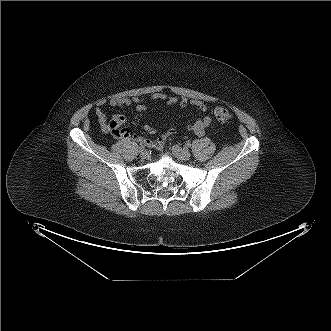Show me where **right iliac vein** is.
<instances>
[{"label": "right iliac vein", "instance_id": "right-iliac-vein-1", "mask_svg": "<svg viewBox=\"0 0 331 331\" xmlns=\"http://www.w3.org/2000/svg\"><path fill=\"white\" fill-rule=\"evenodd\" d=\"M140 157H141L142 159H147V158L149 157V153H148V151L145 150V149L141 150V152H140Z\"/></svg>", "mask_w": 331, "mask_h": 331}]
</instances>
